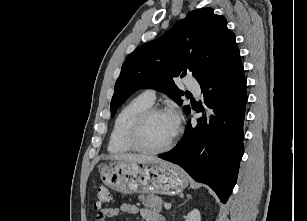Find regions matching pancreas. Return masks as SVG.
Segmentation results:
<instances>
[{
	"label": "pancreas",
	"mask_w": 307,
	"mask_h": 221,
	"mask_svg": "<svg viewBox=\"0 0 307 221\" xmlns=\"http://www.w3.org/2000/svg\"><path fill=\"white\" fill-rule=\"evenodd\" d=\"M139 200L142 202L143 206H145L146 208H150L158 212L162 210L163 201L160 197L154 194H148L146 197H144L143 195H140Z\"/></svg>",
	"instance_id": "1"
}]
</instances>
